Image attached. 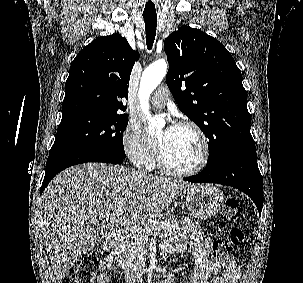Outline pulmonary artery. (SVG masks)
Wrapping results in <instances>:
<instances>
[{"mask_svg":"<svg viewBox=\"0 0 303 283\" xmlns=\"http://www.w3.org/2000/svg\"><path fill=\"white\" fill-rule=\"evenodd\" d=\"M170 98V92L167 87H160L152 96L151 102L157 108H162L166 105Z\"/></svg>","mask_w":303,"mask_h":283,"instance_id":"pulmonary-artery-1","label":"pulmonary artery"}]
</instances>
